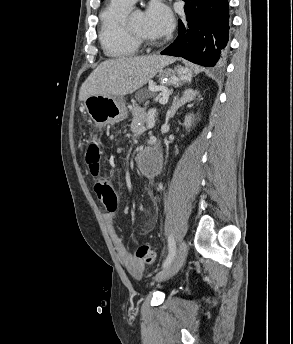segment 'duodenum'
Returning a JSON list of instances; mask_svg holds the SVG:
<instances>
[{"label": "duodenum", "instance_id": "1", "mask_svg": "<svg viewBox=\"0 0 293 344\" xmlns=\"http://www.w3.org/2000/svg\"><path fill=\"white\" fill-rule=\"evenodd\" d=\"M135 158H136V164L138 166H142L143 165V160H144L143 154L142 153H137ZM162 165H163V159H162V156H161L160 152H158L157 166L159 168H161Z\"/></svg>", "mask_w": 293, "mask_h": 344}]
</instances>
